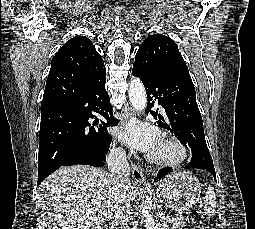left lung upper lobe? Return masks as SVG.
Listing matches in <instances>:
<instances>
[{
  "label": "left lung upper lobe",
  "instance_id": "5c2ea615",
  "mask_svg": "<svg viewBox=\"0 0 255 229\" xmlns=\"http://www.w3.org/2000/svg\"><path fill=\"white\" fill-rule=\"evenodd\" d=\"M134 63L144 68H171L189 75L176 43L162 34H153L143 41Z\"/></svg>",
  "mask_w": 255,
  "mask_h": 229
}]
</instances>
